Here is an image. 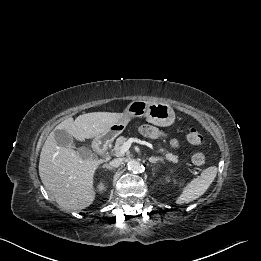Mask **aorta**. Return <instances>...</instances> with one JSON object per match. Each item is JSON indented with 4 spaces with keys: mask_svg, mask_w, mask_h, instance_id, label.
Segmentation results:
<instances>
[{
    "mask_svg": "<svg viewBox=\"0 0 261 261\" xmlns=\"http://www.w3.org/2000/svg\"><path fill=\"white\" fill-rule=\"evenodd\" d=\"M128 169L133 171V172H139L141 170V164L138 160L131 159L127 163Z\"/></svg>",
    "mask_w": 261,
    "mask_h": 261,
    "instance_id": "aorta-1",
    "label": "aorta"
}]
</instances>
